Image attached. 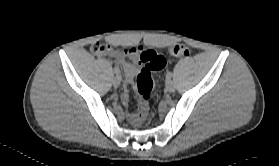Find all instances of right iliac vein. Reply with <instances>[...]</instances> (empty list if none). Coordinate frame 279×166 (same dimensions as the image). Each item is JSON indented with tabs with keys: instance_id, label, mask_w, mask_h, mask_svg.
Here are the masks:
<instances>
[{
	"instance_id": "obj_1",
	"label": "right iliac vein",
	"mask_w": 279,
	"mask_h": 166,
	"mask_svg": "<svg viewBox=\"0 0 279 166\" xmlns=\"http://www.w3.org/2000/svg\"><path fill=\"white\" fill-rule=\"evenodd\" d=\"M120 82H121V77L119 75H116L113 79L114 87H118L120 85Z\"/></svg>"
}]
</instances>
